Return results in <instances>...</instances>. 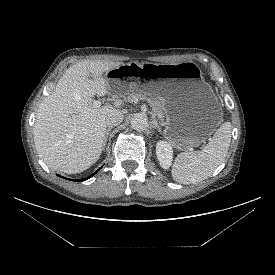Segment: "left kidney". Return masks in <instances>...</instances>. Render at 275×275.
<instances>
[{
    "label": "left kidney",
    "mask_w": 275,
    "mask_h": 275,
    "mask_svg": "<svg viewBox=\"0 0 275 275\" xmlns=\"http://www.w3.org/2000/svg\"><path fill=\"white\" fill-rule=\"evenodd\" d=\"M156 155L162 168L168 169L171 166L173 151L170 144H168L166 141L157 142Z\"/></svg>",
    "instance_id": "1"
}]
</instances>
